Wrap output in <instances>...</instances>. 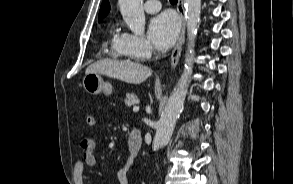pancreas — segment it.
Here are the masks:
<instances>
[{"instance_id": "cf45deb5", "label": "pancreas", "mask_w": 293, "mask_h": 184, "mask_svg": "<svg viewBox=\"0 0 293 184\" xmlns=\"http://www.w3.org/2000/svg\"><path fill=\"white\" fill-rule=\"evenodd\" d=\"M124 102L127 107H131L132 105L138 104L139 99L134 93H127Z\"/></svg>"}]
</instances>
